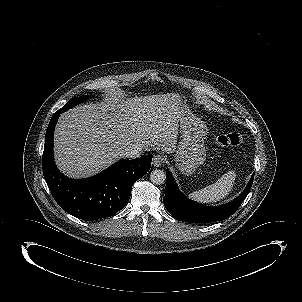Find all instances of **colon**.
Wrapping results in <instances>:
<instances>
[{
    "label": "colon",
    "mask_w": 302,
    "mask_h": 302,
    "mask_svg": "<svg viewBox=\"0 0 302 302\" xmlns=\"http://www.w3.org/2000/svg\"><path fill=\"white\" fill-rule=\"evenodd\" d=\"M243 142L239 133H223L215 138V144L219 147H236Z\"/></svg>",
    "instance_id": "obj_1"
}]
</instances>
